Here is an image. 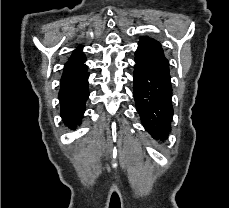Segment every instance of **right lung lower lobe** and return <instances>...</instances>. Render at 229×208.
Instances as JSON below:
<instances>
[{
  "label": "right lung lower lobe",
  "instance_id": "right-lung-lower-lobe-1",
  "mask_svg": "<svg viewBox=\"0 0 229 208\" xmlns=\"http://www.w3.org/2000/svg\"><path fill=\"white\" fill-rule=\"evenodd\" d=\"M87 68L81 74L61 82L59 91L60 111L65 124L75 128L81 122L85 102L89 96Z\"/></svg>",
  "mask_w": 229,
  "mask_h": 208
}]
</instances>
